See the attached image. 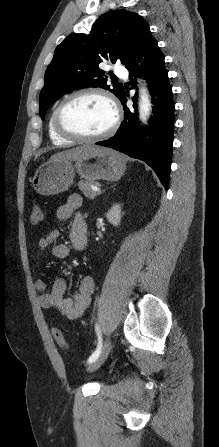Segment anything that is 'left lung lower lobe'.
Returning <instances> with one entry per match:
<instances>
[{"instance_id":"left-lung-lower-lobe-1","label":"left lung lower lobe","mask_w":219,"mask_h":447,"mask_svg":"<svg viewBox=\"0 0 219 447\" xmlns=\"http://www.w3.org/2000/svg\"><path fill=\"white\" fill-rule=\"evenodd\" d=\"M125 67L130 72V77L142 76L147 80L154 105L153 116L149 126L140 128L137 106L134 104V110L127 108L125 92L120 99L125 113L124 122L113 137L96 144L146 162L167 188L172 157L174 103L164 55L151 34ZM136 99V96L132 98L134 102Z\"/></svg>"}]
</instances>
